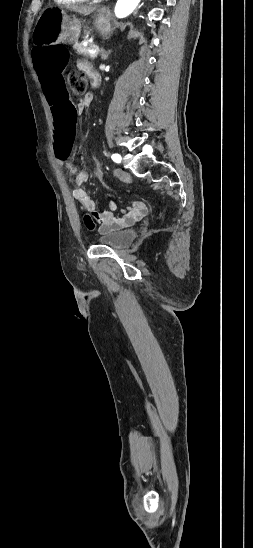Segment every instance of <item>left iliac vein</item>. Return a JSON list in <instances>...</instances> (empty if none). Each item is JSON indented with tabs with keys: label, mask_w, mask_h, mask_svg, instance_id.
<instances>
[{
	"label": "left iliac vein",
	"mask_w": 253,
	"mask_h": 548,
	"mask_svg": "<svg viewBox=\"0 0 253 548\" xmlns=\"http://www.w3.org/2000/svg\"><path fill=\"white\" fill-rule=\"evenodd\" d=\"M116 173L119 176V178L123 181H126L129 179V174L125 171H122L120 169H116Z\"/></svg>",
	"instance_id": "1"
}]
</instances>
